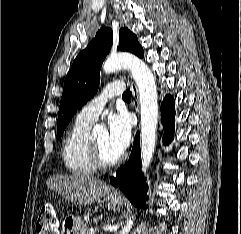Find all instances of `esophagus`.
<instances>
[{"mask_svg":"<svg viewBox=\"0 0 241 234\" xmlns=\"http://www.w3.org/2000/svg\"><path fill=\"white\" fill-rule=\"evenodd\" d=\"M108 6H109V4H108ZM130 86H131L132 96H133V106H134L135 111L138 112L139 111L138 89L133 80H130ZM114 193H115V195H120L119 191H115Z\"/></svg>","mask_w":241,"mask_h":234,"instance_id":"obj_1","label":"esophagus"}]
</instances>
